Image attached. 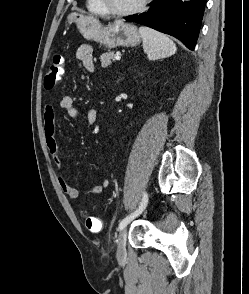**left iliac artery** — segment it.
Returning <instances> with one entry per match:
<instances>
[{
    "mask_svg": "<svg viewBox=\"0 0 249 294\" xmlns=\"http://www.w3.org/2000/svg\"><path fill=\"white\" fill-rule=\"evenodd\" d=\"M147 203H148V195L146 192L143 193V197H142V201L140 203V206L138 207V209L133 212L132 214L126 216L119 224V227L118 229L121 230L123 229L124 227L127 226V224L133 220L134 218H136L137 216H139L143 211L144 209L146 208L147 206Z\"/></svg>",
    "mask_w": 249,
    "mask_h": 294,
    "instance_id": "left-iliac-artery-1",
    "label": "left iliac artery"
}]
</instances>
